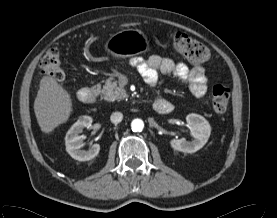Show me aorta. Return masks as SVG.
I'll return each mask as SVG.
<instances>
[{"label":"aorta","mask_w":277,"mask_h":218,"mask_svg":"<svg viewBox=\"0 0 277 218\" xmlns=\"http://www.w3.org/2000/svg\"><path fill=\"white\" fill-rule=\"evenodd\" d=\"M131 128L133 132H141L144 128V122L141 119H134Z\"/></svg>","instance_id":"aorta-1"}]
</instances>
